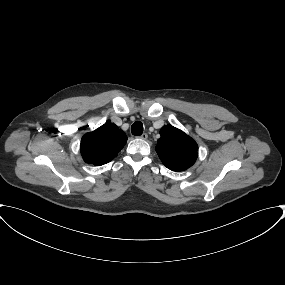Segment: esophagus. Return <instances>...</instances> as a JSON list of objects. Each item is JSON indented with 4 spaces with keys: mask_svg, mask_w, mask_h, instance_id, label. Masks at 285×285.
<instances>
[{
    "mask_svg": "<svg viewBox=\"0 0 285 285\" xmlns=\"http://www.w3.org/2000/svg\"><path fill=\"white\" fill-rule=\"evenodd\" d=\"M140 138H141L142 140H146V139L148 138V135H147L146 133H143V134L140 136Z\"/></svg>",
    "mask_w": 285,
    "mask_h": 285,
    "instance_id": "esophagus-1",
    "label": "esophagus"
}]
</instances>
